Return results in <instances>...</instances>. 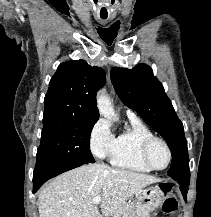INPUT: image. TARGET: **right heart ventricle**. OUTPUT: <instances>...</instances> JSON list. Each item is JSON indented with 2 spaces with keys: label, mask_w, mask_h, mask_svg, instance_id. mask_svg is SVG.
Segmentation results:
<instances>
[{
  "label": "right heart ventricle",
  "mask_w": 211,
  "mask_h": 217,
  "mask_svg": "<svg viewBox=\"0 0 211 217\" xmlns=\"http://www.w3.org/2000/svg\"><path fill=\"white\" fill-rule=\"evenodd\" d=\"M151 130L134 115L129 116V127L115 138V145L110 156L112 165L139 172H150L141 158L143 141L152 137Z\"/></svg>",
  "instance_id": "e07e8e85"
}]
</instances>
